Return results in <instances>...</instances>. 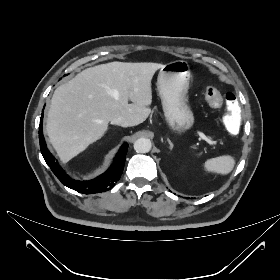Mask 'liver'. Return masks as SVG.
Here are the masks:
<instances>
[{"instance_id":"1","label":"liver","mask_w":280,"mask_h":280,"mask_svg":"<svg viewBox=\"0 0 280 280\" xmlns=\"http://www.w3.org/2000/svg\"><path fill=\"white\" fill-rule=\"evenodd\" d=\"M163 66L110 62L87 68L59 86L46 123L58 156L69 161L100 139L115 118H126L130 126L143 123L151 113V80Z\"/></svg>"}]
</instances>
